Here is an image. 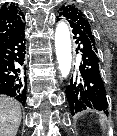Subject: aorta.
Wrapping results in <instances>:
<instances>
[{
    "label": "aorta",
    "mask_w": 117,
    "mask_h": 136,
    "mask_svg": "<svg viewBox=\"0 0 117 136\" xmlns=\"http://www.w3.org/2000/svg\"><path fill=\"white\" fill-rule=\"evenodd\" d=\"M55 50L61 75L62 77H67L71 70L72 50L70 30L65 21H59L56 25Z\"/></svg>",
    "instance_id": "obj_1"
}]
</instances>
